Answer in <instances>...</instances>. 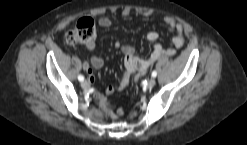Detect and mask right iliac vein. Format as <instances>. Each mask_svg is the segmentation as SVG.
<instances>
[{
	"mask_svg": "<svg viewBox=\"0 0 247 145\" xmlns=\"http://www.w3.org/2000/svg\"><path fill=\"white\" fill-rule=\"evenodd\" d=\"M81 87H82L84 90H87V89L90 87V85H89V83H88L87 81H82Z\"/></svg>",
	"mask_w": 247,
	"mask_h": 145,
	"instance_id": "63e3f726",
	"label": "right iliac vein"
}]
</instances>
